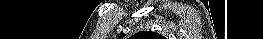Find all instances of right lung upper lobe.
<instances>
[{"instance_id":"obj_1","label":"right lung upper lobe","mask_w":263,"mask_h":39,"mask_svg":"<svg viewBox=\"0 0 263 39\" xmlns=\"http://www.w3.org/2000/svg\"><path fill=\"white\" fill-rule=\"evenodd\" d=\"M149 34H151L152 36H157L158 34L157 33H152V32H148Z\"/></svg>"}]
</instances>
